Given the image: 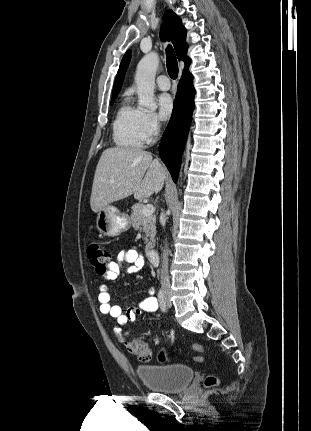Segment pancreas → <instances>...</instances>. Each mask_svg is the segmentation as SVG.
<instances>
[{"label": "pancreas", "mask_w": 311, "mask_h": 431, "mask_svg": "<svg viewBox=\"0 0 311 431\" xmlns=\"http://www.w3.org/2000/svg\"><path fill=\"white\" fill-rule=\"evenodd\" d=\"M144 204H134L131 208L130 217L132 219L131 223L134 229H143L145 251H150L154 247V235L156 233V217L155 216H144L142 210Z\"/></svg>", "instance_id": "pancreas-1"}]
</instances>
